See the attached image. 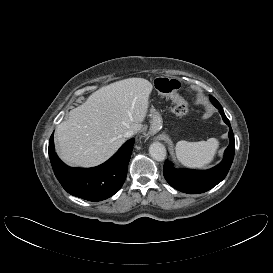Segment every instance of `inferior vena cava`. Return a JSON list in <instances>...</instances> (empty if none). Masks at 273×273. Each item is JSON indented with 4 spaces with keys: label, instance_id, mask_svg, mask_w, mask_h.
<instances>
[{
    "label": "inferior vena cava",
    "instance_id": "1",
    "mask_svg": "<svg viewBox=\"0 0 273 273\" xmlns=\"http://www.w3.org/2000/svg\"><path fill=\"white\" fill-rule=\"evenodd\" d=\"M135 134L134 130L129 129L124 133V137L129 138L132 137Z\"/></svg>",
    "mask_w": 273,
    "mask_h": 273
}]
</instances>
